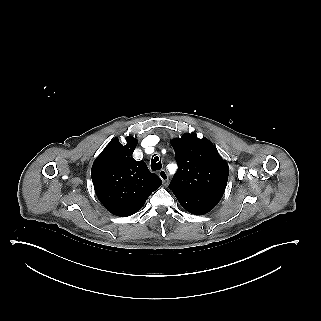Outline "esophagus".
I'll return each instance as SVG.
<instances>
[{
  "label": "esophagus",
  "instance_id": "34e87169",
  "mask_svg": "<svg viewBox=\"0 0 321 321\" xmlns=\"http://www.w3.org/2000/svg\"><path fill=\"white\" fill-rule=\"evenodd\" d=\"M159 177L162 179L164 185L167 186L168 183H169V176H168L167 172L162 169V170L159 172Z\"/></svg>",
  "mask_w": 321,
  "mask_h": 321
}]
</instances>
